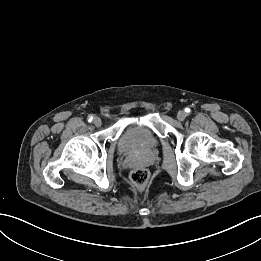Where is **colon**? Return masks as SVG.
Listing matches in <instances>:
<instances>
[{
	"instance_id": "obj_1",
	"label": "colon",
	"mask_w": 261,
	"mask_h": 261,
	"mask_svg": "<svg viewBox=\"0 0 261 261\" xmlns=\"http://www.w3.org/2000/svg\"><path fill=\"white\" fill-rule=\"evenodd\" d=\"M149 179V173L144 168H137L131 173V181L138 188H143Z\"/></svg>"
}]
</instances>
